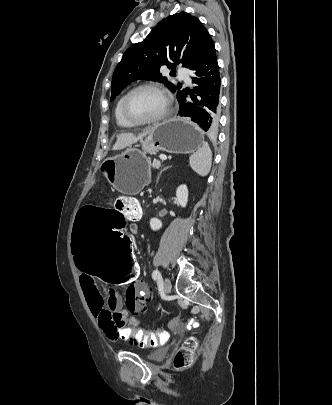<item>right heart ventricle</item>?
Returning a JSON list of instances; mask_svg holds the SVG:
<instances>
[{
  "label": "right heart ventricle",
  "mask_w": 332,
  "mask_h": 405,
  "mask_svg": "<svg viewBox=\"0 0 332 405\" xmlns=\"http://www.w3.org/2000/svg\"><path fill=\"white\" fill-rule=\"evenodd\" d=\"M122 97H123V96H121V97L117 100V102H116V104H115V108H114L115 121H116L117 125L120 126V127H123V128H130V127H133V125L130 124V123H128V122L122 117V115H121V113H120V103H121Z\"/></svg>",
  "instance_id": "right-heart-ventricle-1"
}]
</instances>
